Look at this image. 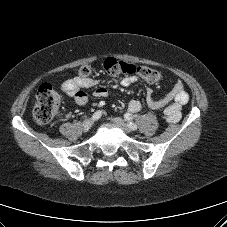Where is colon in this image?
Here are the masks:
<instances>
[{"mask_svg":"<svg viewBox=\"0 0 227 227\" xmlns=\"http://www.w3.org/2000/svg\"><path fill=\"white\" fill-rule=\"evenodd\" d=\"M103 68L110 76L138 75L148 82L155 83L162 79L160 72L145 66L118 60L110 57L104 60ZM90 65H83L78 69L80 78H87L92 74ZM62 96L50 85L43 84L37 91L33 108V117L40 124L51 122L58 114Z\"/></svg>","mask_w":227,"mask_h":227,"instance_id":"colon-1","label":"colon"}]
</instances>
